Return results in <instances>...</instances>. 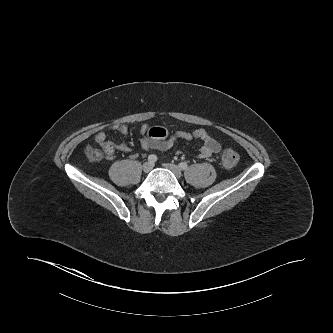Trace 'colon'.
<instances>
[{
	"instance_id": "obj_1",
	"label": "colon",
	"mask_w": 333,
	"mask_h": 333,
	"mask_svg": "<svg viewBox=\"0 0 333 333\" xmlns=\"http://www.w3.org/2000/svg\"><path fill=\"white\" fill-rule=\"evenodd\" d=\"M150 137L154 139H164L168 132L163 127H152L148 131ZM87 157L92 162L101 160L104 156V150L101 146H89L86 150ZM239 155L232 149H227L222 154V162L227 167H233L238 163Z\"/></svg>"
}]
</instances>
